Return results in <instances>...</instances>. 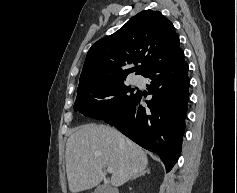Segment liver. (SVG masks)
<instances>
[{
    "label": "liver",
    "instance_id": "6515ba94",
    "mask_svg": "<svg viewBox=\"0 0 237 193\" xmlns=\"http://www.w3.org/2000/svg\"><path fill=\"white\" fill-rule=\"evenodd\" d=\"M66 173L72 193L97 186L103 169H113L111 184L123 185L139 172L145 171L148 158L144 150L116 129L103 124H84L67 140Z\"/></svg>",
    "mask_w": 237,
    "mask_h": 193
}]
</instances>
